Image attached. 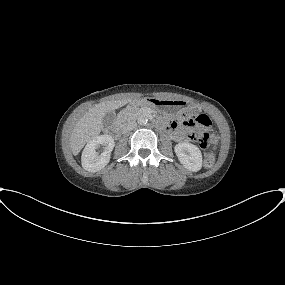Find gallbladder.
Wrapping results in <instances>:
<instances>
[{
	"label": "gallbladder",
	"instance_id": "gallbladder-1",
	"mask_svg": "<svg viewBox=\"0 0 285 285\" xmlns=\"http://www.w3.org/2000/svg\"><path fill=\"white\" fill-rule=\"evenodd\" d=\"M116 119V114L114 111H109L105 114V116L103 117V124L105 126H109L111 125Z\"/></svg>",
	"mask_w": 285,
	"mask_h": 285
}]
</instances>
